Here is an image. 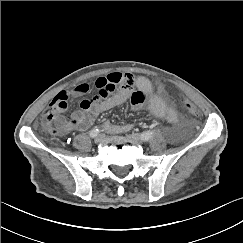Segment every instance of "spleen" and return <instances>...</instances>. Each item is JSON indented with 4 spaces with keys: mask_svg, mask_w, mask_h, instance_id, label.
I'll return each instance as SVG.
<instances>
[{
    "mask_svg": "<svg viewBox=\"0 0 243 243\" xmlns=\"http://www.w3.org/2000/svg\"><path fill=\"white\" fill-rule=\"evenodd\" d=\"M133 88L145 103L150 118L157 124H164L170 118V111L163 96L146 75H139L133 81ZM164 137L170 143H177L183 137V130L177 124H170L164 130Z\"/></svg>",
    "mask_w": 243,
    "mask_h": 243,
    "instance_id": "1",
    "label": "spleen"
}]
</instances>
